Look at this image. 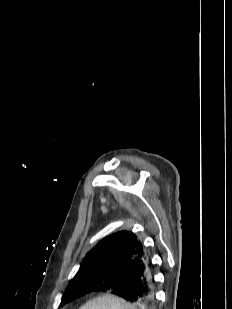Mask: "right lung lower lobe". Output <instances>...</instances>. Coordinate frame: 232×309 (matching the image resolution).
Segmentation results:
<instances>
[{
    "label": "right lung lower lobe",
    "instance_id": "obj_1",
    "mask_svg": "<svg viewBox=\"0 0 232 309\" xmlns=\"http://www.w3.org/2000/svg\"><path fill=\"white\" fill-rule=\"evenodd\" d=\"M119 270V273L129 276L126 282L105 280L101 286H89L86 294L109 290L134 303L138 309H155L154 278L150 260L147 258L140 263H126Z\"/></svg>",
    "mask_w": 232,
    "mask_h": 309
}]
</instances>
